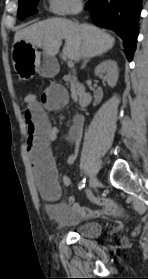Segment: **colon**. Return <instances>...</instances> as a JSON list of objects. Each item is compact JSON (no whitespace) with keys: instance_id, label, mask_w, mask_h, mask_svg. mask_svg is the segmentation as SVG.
<instances>
[{"instance_id":"1","label":"colon","mask_w":148,"mask_h":279,"mask_svg":"<svg viewBox=\"0 0 148 279\" xmlns=\"http://www.w3.org/2000/svg\"><path fill=\"white\" fill-rule=\"evenodd\" d=\"M23 99L27 105H31L37 101V96L34 92H27Z\"/></svg>"}]
</instances>
